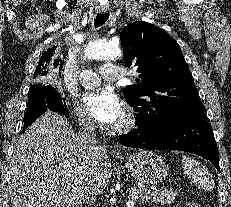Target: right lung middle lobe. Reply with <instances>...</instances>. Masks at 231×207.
<instances>
[{"label":"right lung middle lobe","instance_id":"right-lung-middle-lobe-1","mask_svg":"<svg viewBox=\"0 0 231 207\" xmlns=\"http://www.w3.org/2000/svg\"><path fill=\"white\" fill-rule=\"evenodd\" d=\"M40 88H42V85L40 84H35L30 88L28 102H30L35 97L36 90Z\"/></svg>","mask_w":231,"mask_h":207}]
</instances>
